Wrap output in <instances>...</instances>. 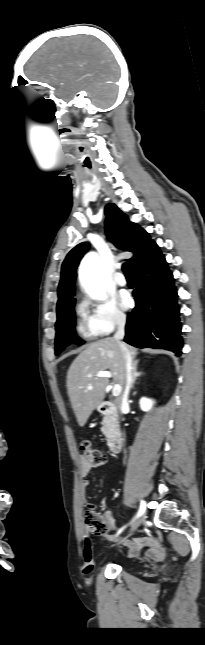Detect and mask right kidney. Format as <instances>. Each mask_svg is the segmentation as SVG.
<instances>
[{
    "label": "right kidney",
    "mask_w": 205,
    "mask_h": 645,
    "mask_svg": "<svg viewBox=\"0 0 205 645\" xmlns=\"http://www.w3.org/2000/svg\"><path fill=\"white\" fill-rule=\"evenodd\" d=\"M139 404H140V408H141L143 411L148 412V411H150V410H151V408H152V406H153L154 402H153L151 399H148V398L142 397V398L140 399Z\"/></svg>",
    "instance_id": "1"
}]
</instances>
